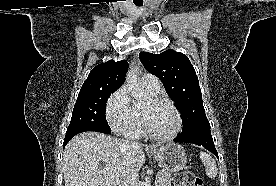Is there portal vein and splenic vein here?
<instances>
[{
    "label": "portal vein and splenic vein",
    "mask_w": 276,
    "mask_h": 186,
    "mask_svg": "<svg viewBox=\"0 0 276 186\" xmlns=\"http://www.w3.org/2000/svg\"><path fill=\"white\" fill-rule=\"evenodd\" d=\"M160 178L158 176H156V180H155V185L157 186V184L159 183Z\"/></svg>",
    "instance_id": "1"
}]
</instances>
